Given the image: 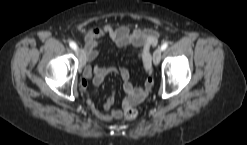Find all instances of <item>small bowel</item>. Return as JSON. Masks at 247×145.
Listing matches in <instances>:
<instances>
[{
	"mask_svg": "<svg viewBox=\"0 0 247 145\" xmlns=\"http://www.w3.org/2000/svg\"><path fill=\"white\" fill-rule=\"evenodd\" d=\"M106 36H109L118 47L133 46L138 49V56L146 74V79L142 86L136 87L133 85L129 70L124 67L90 65L98 57L99 45ZM158 40L159 34L157 31L153 29H142L140 27L131 29L129 25H121L118 28H113L109 24H102L87 33L84 52L85 60L89 64L84 69L80 87L86 96L88 106L99 119L104 121L117 120L122 118L123 111L112 108L115 102L114 92L107 98L103 108L101 110L98 109L88 93L89 81H92L95 85H99L108 75L118 74L123 80V88L127 94L122 104L123 109L138 105L145 99L154 84L151 77L152 61L149 49L157 45Z\"/></svg>",
	"mask_w": 247,
	"mask_h": 145,
	"instance_id": "small-bowel-1",
	"label": "small bowel"
}]
</instances>
